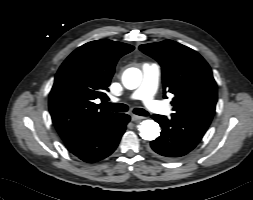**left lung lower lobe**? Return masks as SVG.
I'll return each instance as SVG.
<instances>
[{"mask_svg":"<svg viewBox=\"0 0 253 200\" xmlns=\"http://www.w3.org/2000/svg\"><path fill=\"white\" fill-rule=\"evenodd\" d=\"M162 128L161 135L150 143L151 151L159 157L171 159L186 155L200 142L208 126L185 116L153 115Z\"/></svg>","mask_w":253,"mask_h":200,"instance_id":"obj_1","label":"left lung lower lobe"}]
</instances>
